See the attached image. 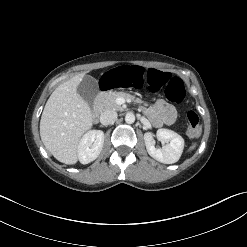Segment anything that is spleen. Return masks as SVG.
Here are the masks:
<instances>
[{"instance_id":"3e777b00","label":"spleen","mask_w":247,"mask_h":247,"mask_svg":"<svg viewBox=\"0 0 247 247\" xmlns=\"http://www.w3.org/2000/svg\"><path fill=\"white\" fill-rule=\"evenodd\" d=\"M195 147H196V144L192 145V146L190 147V150H193Z\"/></svg>"}]
</instances>
